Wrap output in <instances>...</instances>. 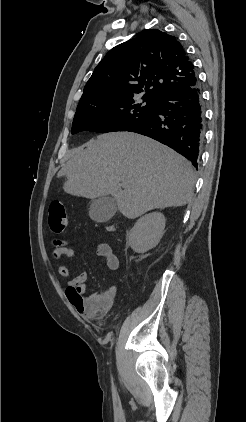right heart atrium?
I'll list each match as a JSON object with an SVG mask.
<instances>
[{
  "instance_id": "d8ad5b80",
  "label": "right heart atrium",
  "mask_w": 246,
  "mask_h": 422,
  "mask_svg": "<svg viewBox=\"0 0 246 422\" xmlns=\"http://www.w3.org/2000/svg\"><path fill=\"white\" fill-rule=\"evenodd\" d=\"M103 118H104V119H108V115H107V114H104V115H103Z\"/></svg>"
}]
</instances>
